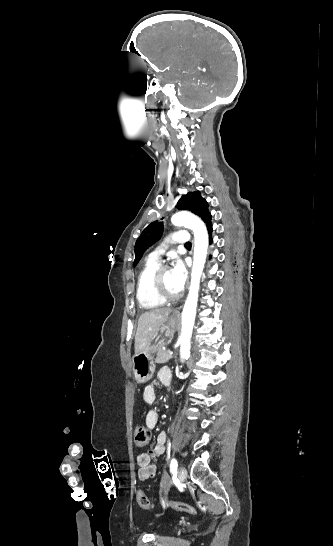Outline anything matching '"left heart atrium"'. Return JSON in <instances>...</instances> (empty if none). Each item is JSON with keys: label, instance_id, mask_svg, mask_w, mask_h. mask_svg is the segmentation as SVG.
Listing matches in <instances>:
<instances>
[{"label": "left heart atrium", "instance_id": "obj_1", "mask_svg": "<svg viewBox=\"0 0 333 546\" xmlns=\"http://www.w3.org/2000/svg\"><path fill=\"white\" fill-rule=\"evenodd\" d=\"M170 272L174 287L178 292L182 291L187 280V271L183 262L179 259L175 260Z\"/></svg>", "mask_w": 333, "mask_h": 546}]
</instances>
